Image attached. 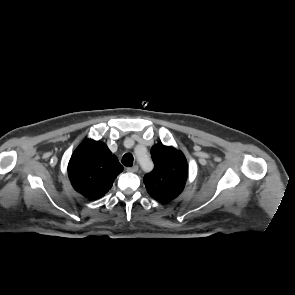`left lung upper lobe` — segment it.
<instances>
[{
    "mask_svg": "<svg viewBox=\"0 0 295 295\" xmlns=\"http://www.w3.org/2000/svg\"><path fill=\"white\" fill-rule=\"evenodd\" d=\"M151 156L154 169L144 176L146 189L158 202H170L184 189L188 175L186 158L174 147L163 144H155Z\"/></svg>",
    "mask_w": 295,
    "mask_h": 295,
    "instance_id": "left-lung-upper-lobe-1",
    "label": "left lung upper lobe"
}]
</instances>
